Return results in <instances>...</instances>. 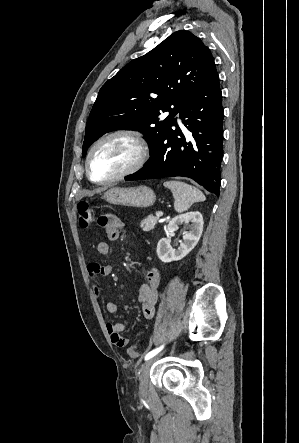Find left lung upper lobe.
Returning a JSON list of instances; mask_svg holds the SVG:
<instances>
[{"label": "left lung upper lobe", "mask_w": 299, "mask_h": 443, "mask_svg": "<svg viewBox=\"0 0 299 443\" xmlns=\"http://www.w3.org/2000/svg\"><path fill=\"white\" fill-rule=\"evenodd\" d=\"M214 68L208 47L185 30L174 32L132 60L100 89L86 124L83 157L100 136L122 128L143 133L152 153L171 127L173 116ZM166 111L168 117L158 118Z\"/></svg>", "instance_id": "left-lung-upper-lobe-1"}]
</instances>
